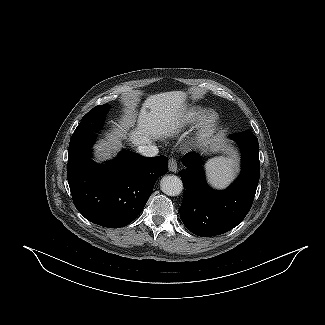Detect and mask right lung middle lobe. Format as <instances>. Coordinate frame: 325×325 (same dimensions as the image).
<instances>
[{
  "label": "right lung middle lobe",
  "mask_w": 325,
  "mask_h": 325,
  "mask_svg": "<svg viewBox=\"0 0 325 325\" xmlns=\"http://www.w3.org/2000/svg\"><path fill=\"white\" fill-rule=\"evenodd\" d=\"M108 110L109 106L107 104L94 107L81 119L74 132L76 134H86L98 131L103 125Z\"/></svg>",
  "instance_id": "1"
}]
</instances>
